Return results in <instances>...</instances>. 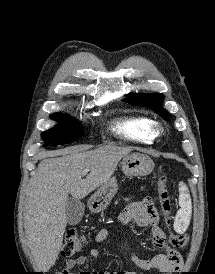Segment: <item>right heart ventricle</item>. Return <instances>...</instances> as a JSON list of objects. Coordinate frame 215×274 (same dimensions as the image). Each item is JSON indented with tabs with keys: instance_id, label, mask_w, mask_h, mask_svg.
Segmentation results:
<instances>
[{
	"instance_id": "e07e8e85",
	"label": "right heart ventricle",
	"mask_w": 215,
	"mask_h": 274,
	"mask_svg": "<svg viewBox=\"0 0 215 274\" xmlns=\"http://www.w3.org/2000/svg\"><path fill=\"white\" fill-rule=\"evenodd\" d=\"M153 121L145 116L125 115L114 119L109 130L120 139L151 144L155 136L152 132Z\"/></svg>"
}]
</instances>
